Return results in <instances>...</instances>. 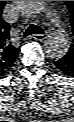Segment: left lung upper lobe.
I'll list each match as a JSON object with an SVG mask.
<instances>
[{"label":"left lung upper lobe","instance_id":"left-lung-upper-lobe-1","mask_svg":"<svg viewBox=\"0 0 74 122\" xmlns=\"http://www.w3.org/2000/svg\"><path fill=\"white\" fill-rule=\"evenodd\" d=\"M67 6L69 8V11L71 12V26L74 34V1H67ZM67 54L74 58V39Z\"/></svg>","mask_w":74,"mask_h":122}]
</instances>
